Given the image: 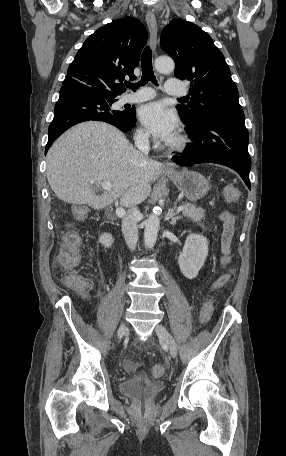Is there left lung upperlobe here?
I'll return each instance as SVG.
<instances>
[{
	"mask_svg": "<svg viewBox=\"0 0 286 456\" xmlns=\"http://www.w3.org/2000/svg\"><path fill=\"white\" fill-rule=\"evenodd\" d=\"M160 44L175 61V76L190 81V102L176 106L187 125L205 116L245 120L230 69L205 31L191 22L174 19L162 31Z\"/></svg>",
	"mask_w": 286,
	"mask_h": 456,
	"instance_id": "5c2ea615",
	"label": "left lung upper lobe"
}]
</instances>
